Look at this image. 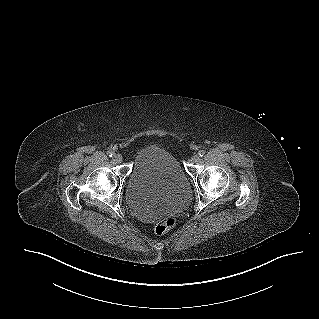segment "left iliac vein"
Listing matches in <instances>:
<instances>
[{
	"mask_svg": "<svg viewBox=\"0 0 319 319\" xmlns=\"http://www.w3.org/2000/svg\"><path fill=\"white\" fill-rule=\"evenodd\" d=\"M200 161V156L199 155H197V154H195V155H193L191 158H190V162L191 163H197V162H199Z\"/></svg>",
	"mask_w": 319,
	"mask_h": 319,
	"instance_id": "4c4485c4",
	"label": "left iliac vein"
}]
</instances>
